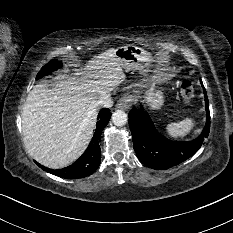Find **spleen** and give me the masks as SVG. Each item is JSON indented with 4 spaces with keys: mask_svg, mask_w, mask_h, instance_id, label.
I'll list each match as a JSON object with an SVG mask.
<instances>
[{
    "mask_svg": "<svg viewBox=\"0 0 233 233\" xmlns=\"http://www.w3.org/2000/svg\"><path fill=\"white\" fill-rule=\"evenodd\" d=\"M194 126L195 121L192 118H187L180 122L166 125V132L172 138H182L189 134Z\"/></svg>",
    "mask_w": 233,
    "mask_h": 233,
    "instance_id": "3e777b00",
    "label": "spleen"
}]
</instances>
